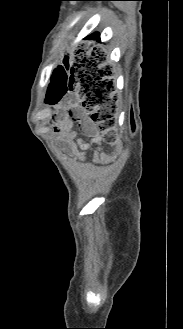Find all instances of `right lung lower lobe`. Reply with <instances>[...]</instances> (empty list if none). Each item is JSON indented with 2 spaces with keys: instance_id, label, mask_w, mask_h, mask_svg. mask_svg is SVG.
<instances>
[{
  "instance_id": "1",
  "label": "right lung lower lobe",
  "mask_w": 183,
  "mask_h": 329,
  "mask_svg": "<svg viewBox=\"0 0 183 329\" xmlns=\"http://www.w3.org/2000/svg\"><path fill=\"white\" fill-rule=\"evenodd\" d=\"M88 38L89 39H97V40H100L99 33L91 34L90 36H88ZM85 65L88 66L87 70H89V72L95 74V67L97 65L95 64V62L92 59L87 60V62L85 63Z\"/></svg>"
}]
</instances>
